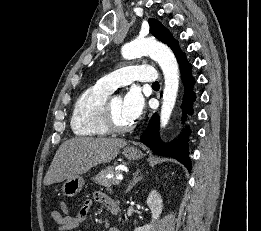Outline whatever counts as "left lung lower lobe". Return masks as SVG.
<instances>
[{
  "label": "left lung lower lobe",
  "instance_id": "left-lung-lower-lobe-1",
  "mask_svg": "<svg viewBox=\"0 0 261 231\" xmlns=\"http://www.w3.org/2000/svg\"><path fill=\"white\" fill-rule=\"evenodd\" d=\"M178 63L185 88L181 105L184 126L180 132V136L170 143H163L162 140L159 139V118L155 113L149 121L148 128L140 136V141L147 145L155 154L175 158L190 171L191 161L189 159L188 142L191 132L187 123L189 116L193 114L192 105L196 98L195 92L193 91L195 79L191 74L192 66L187 61L185 55L178 60Z\"/></svg>",
  "mask_w": 261,
  "mask_h": 231
}]
</instances>
